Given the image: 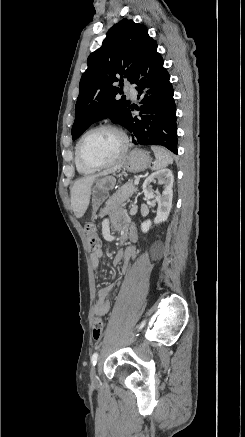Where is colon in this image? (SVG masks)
Segmentation results:
<instances>
[{
    "label": "colon",
    "instance_id": "obj_1",
    "mask_svg": "<svg viewBox=\"0 0 245 437\" xmlns=\"http://www.w3.org/2000/svg\"><path fill=\"white\" fill-rule=\"evenodd\" d=\"M85 233L87 236L88 247L91 251H94L98 248L99 239L97 236L96 227L93 224H87L85 226ZM104 331V322L101 318H97L94 321L92 335L94 340L98 341L102 338Z\"/></svg>",
    "mask_w": 245,
    "mask_h": 437
}]
</instances>
